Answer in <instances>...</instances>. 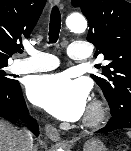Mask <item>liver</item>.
Segmentation results:
<instances>
[{"label":"liver","instance_id":"1","mask_svg":"<svg viewBox=\"0 0 131 151\" xmlns=\"http://www.w3.org/2000/svg\"><path fill=\"white\" fill-rule=\"evenodd\" d=\"M18 130L9 122L0 120V151H19Z\"/></svg>","mask_w":131,"mask_h":151}]
</instances>
